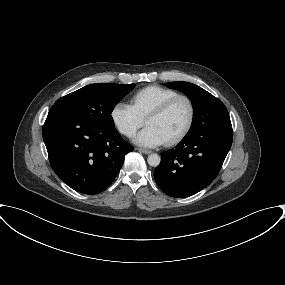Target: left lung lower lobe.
I'll return each mask as SVG.
<instances>
[{
	"instance_id": "left-lung-lower-lobe-1",
	"label": "left lung lower lobe",
	"mask_w": 285,
	"mask_h": 285,
	"mask_svg": "<svg viewBox=\"0 0 285 285\" xmlns=\"http://www.w3.org/2000/svg\"><path fill=\"white\" fill-rule=\"evenodd\" d=\"M232 139V129L187 134L174 149L162 152L161 163L154 172L156 183L171 197L196 194L219 173Z\"/></svg>"
}]
</instances>
